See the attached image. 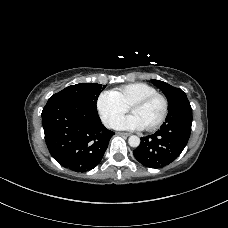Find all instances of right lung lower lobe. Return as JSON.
<instances>
[{"instance_id": "98d812e1", "label": "right lung lower lobe", "mask_w": 228, "mask_h": 228, "mask_svg": "<svg viewBox=\"0 0 228 228\" xmlns=\"http://www.w3.org/2000/svg\"><path fill=\"white\" fill-rule=\"evenodd\" d=\"M42 122L52 157L76 172L98 165L114 134L103 126L97 110L68 99H49Z\"/></svg>"}]
</instances>
